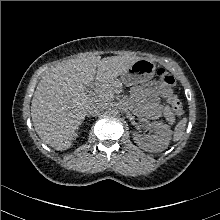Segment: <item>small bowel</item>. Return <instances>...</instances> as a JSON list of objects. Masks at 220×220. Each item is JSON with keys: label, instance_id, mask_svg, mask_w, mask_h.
<instances>
[{"label": "small bowel", "instance_id": "obj_1", "mask_svg": "<svg viewBox=\"0 0 220 220\" xmlns=\"http://www.w3.org/2000/svg\"><path fill=\"white\" fill-rule=\"evenodd\" d=\"M140 92L150 104L157 108L159 97H167L169 90L161 83L154 81L140 88Z\"/></svg>", "mask_w": 220, "mask_h": 220}]
</instances>
